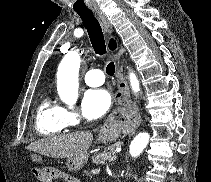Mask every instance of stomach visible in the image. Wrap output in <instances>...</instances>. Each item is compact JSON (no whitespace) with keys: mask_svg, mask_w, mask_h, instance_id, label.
<instances>
[{"mask_svg":"<svg viewBox=\"0 0 211 182\" xmlns=\"http://www.w3.org/2000/svg\"><path fill=\"white\" fill-rule=\"evenodd\" d=\"M118 136V132L113 129L104 130L101 132L97 138L99 143H106ZM34 158L38 159V156H34ZM88 160V154L78 155L72 158H68L66 162V167L68 171L75 172L83 168L85 163Z\"/></svg>","mask_w":211,"mask_h":182,"instance_id":"obj_1","label":"stomach"}]
</instances>
